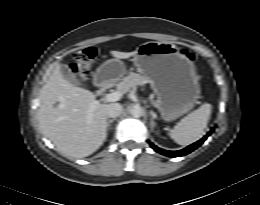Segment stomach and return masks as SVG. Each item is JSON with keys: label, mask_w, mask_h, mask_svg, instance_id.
<instances>
[{"label": "stomach", "mask_w": 260, "mask_h": 205, "mask_svg": "<svg viewBox=\"0 0 260 205\" xmlns=\"http://www.w3.org/2000/svg\"><path fill=\"white\" fill-rule=\"evenodd\" d=\"M137 70L150 83L157 96V107L165 122L189 112L200 97L199 77L194 63L169 42L150 41L137 49ZM125 74L122 62L110 59L95 74L99 84L118 82Z\"/></svg>", "instance_id": "1"}]
</instances>
